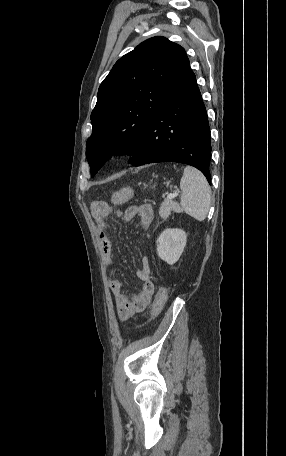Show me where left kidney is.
Listing matches in <instances>:
<instances>
[{"label":"left kidney","instance_id":"5707ae66","mask_svg":"<svg viewBox=\"0 0 286 456\" xmlns=\"http://www.w3.org/2000/svg\"><path fill=\"white\" fill-rule=\"evenodd\" d=\"M187 235L181 229H165L158 237L157 254L158 256L172 265L176 263L186 245Z\"/></svg>","mask_w":286,"mask_h":456}]
</instances>
